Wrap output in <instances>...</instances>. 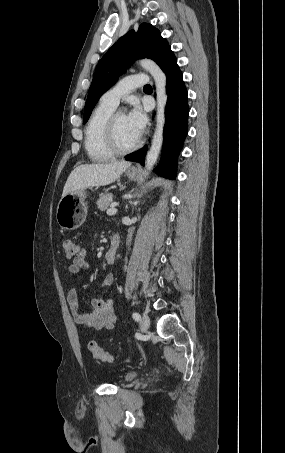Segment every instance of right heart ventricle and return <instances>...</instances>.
Listing matches in <instances>:
<instances>
[{
	"instance_id": "e07e8e85",
	"label": "right heart ventricle",
	"mask_w": 285,
	"mask_h": 453,
	"mask_svg": "<svg viewBox=\"0 0 285 453\" xmlns=\"http://www.w3.org/2000/svg\"><path fill=\"white\" fill-rule=\"evenodd\" d=\"M115 108L101 100L87 122L84 147L89 159L93 162H106L114 156L106 146L104 131L106 122Z\"/></svg>"
}]
</instances>
